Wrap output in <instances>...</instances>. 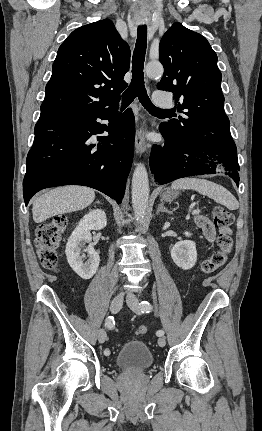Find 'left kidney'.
<instances>
[{"instance_id":"5707ae66","label":"left kidney","mask_w":262,"mask_h":431,"mask_svg":"<svg viewBox=\"0 0 262 431\" xmlns=\"http://www.w3.org/2000/svg\"><path fill=\"white\" fill-rule=\"evenodd\" d=\"M184 234L187 237L191 236L189 232H185ZM171 257L174 263L181 269H191L197 261V250L195 242L191 240L177 242L171 250Z\"/></svg>"}]
</instances>
